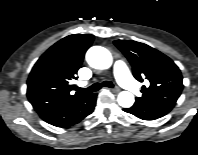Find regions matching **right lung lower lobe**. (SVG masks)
I'll return each instance as SVG.
<instances>
[{
    "label": "right lung lower lobe",
    "instance_id": "1",
    "mask_svg": "<svg viewBox=\"0 0 198 155\" xmlns=\"http://www.w3.org/2000/svg\"><path fill=\"white\" fill-rule=\"evenodd\" d=\"M97 93L84 94L75 101L43 112L40 117L56 127L74 125L91 114L96 104Z\"/></svg>",
    "mask_w": 198,
    "mask_h": 155
}]
</instances>
